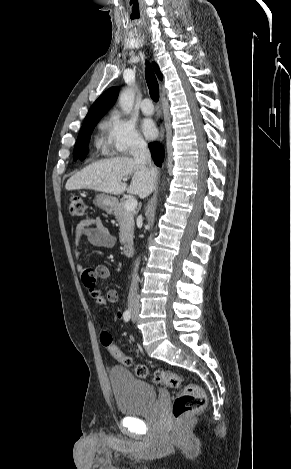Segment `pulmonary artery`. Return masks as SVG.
I'll list each match as a JSON object with an SVG mask.
<instances>
[{"instance_id": "pulmonary-artery-1", "label": "pulmonary artery", "mask_w": 291, "mask_h": 469, "mask_svg": "<svg viewBox=\"0 0 291 469\" xmlns=\"http://www.w3.org/2000/svg\"><path fill=\"white\" fill-rule=\"evenodd\" d=\"M140 108L142 112L146 115H150L154 111L153 104L149 98H145L142 100L140 104Z\"/></svg>"}]
</instances>
